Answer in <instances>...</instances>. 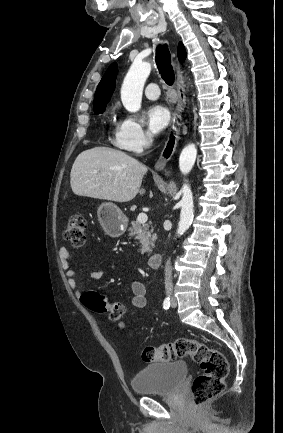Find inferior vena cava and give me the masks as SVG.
<instances>
[{"instance_id": "1", "label": "inferior vena cava", "mask_w": 283, "mask_h": 433, "mask_svg": "<svg viewBox=\"0 0 283 433\" xmlns=\"http://www.w3.org/2000/svg\"><path fill=\"white\" fill-rule=\"evenodd\" d=\"M151 140H146V144H150ZM173 289V283H172V267H171V261L168 259L166 261L165 265V291L166 293H170Z\"/></svg>"}]
</instances>
